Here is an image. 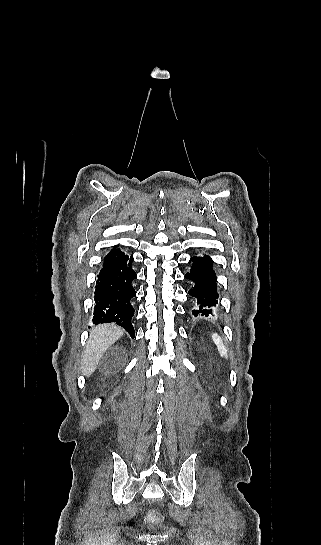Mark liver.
Masks as SVG:
<instances>
[{
    "label": "liver",
    "mask_w": 321,
    "mask_h": 545,
    "mask_svg": "<svg viewBox=\"0 0 321 545\" xmlns=\"http://www.w3.org/2000/svg\"><path fill=\"white\" fill-rule=\"evenodd\" d=\"M123 333V329L116 327V325H97V327H93L80 365L81 373L85 377H90L94 373L102 355L122 337Z\"/></svg>",
    "instance_id": "6515ba94"
}]
</instances>
